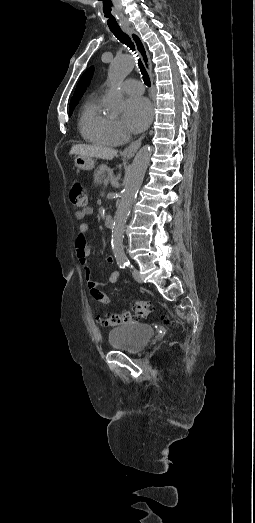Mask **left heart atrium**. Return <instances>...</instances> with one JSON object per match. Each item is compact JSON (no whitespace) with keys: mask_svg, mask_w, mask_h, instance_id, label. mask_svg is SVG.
Returning a JSON list of instances; mask_svg holds the SVG:
<instances>
[{"mask_svg":"<svg viewBox=\"0 0 255 523\" xmlns=\"http://www.w3.org/2000/svg\"><path fill=\"white\" fill-rule=\"evenodd\" d=\"M152 118V105L144 97L133 101L129 99L124 107V121L126 126L134 132L140 131L147 126Z\"/></svg>","mask_w":255,"mask_h":523,"instance_id":"left-heart-atrium-1","label":"left heart atrium"}]
</instances>
